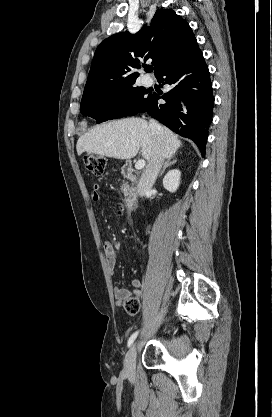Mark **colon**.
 I'll return each mask as SVG.
<instances>
[{"mask_svg": "<svg viewBox=\"0 0 272 417\" xmlns=\"http://www.w3.org/2000/svg\"><path fill=\"white\" fill-rule=\"evenodd\" d=\"M85 167L95 176L102 177L106 172L105 158L89 154L84 158ZM125 310L130 315H136L140 310V302L135 298H128L125 302Z\"/></svg>", "mask_w": 272, "mask_h": 417, "instance_id": "5ec220e1", "label": "colon"}]
</instances>
